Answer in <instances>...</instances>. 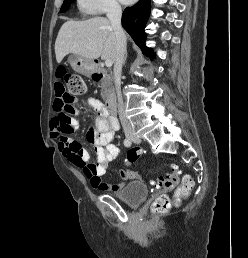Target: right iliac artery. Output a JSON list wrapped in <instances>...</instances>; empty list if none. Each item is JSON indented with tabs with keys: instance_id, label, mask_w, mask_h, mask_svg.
I'll return each instance as SVG.
<instances>
[{
	"instance_id": "1",
	"label": "right iliac artery",
	"mask_w": 248,
	"mask_h": 258,
	"mask_svg": "<svg viewBox=\"0 0 248 258\" xmlns=\"http://www.w3.org/2000/svg\"><path fill=\"white\" fill-rule=\"evenodd\" d=\"M124 145H125L126 147H130V146H131V141H130L129 139H125V140H124Z\"/></svg>"
}]
</instances>
